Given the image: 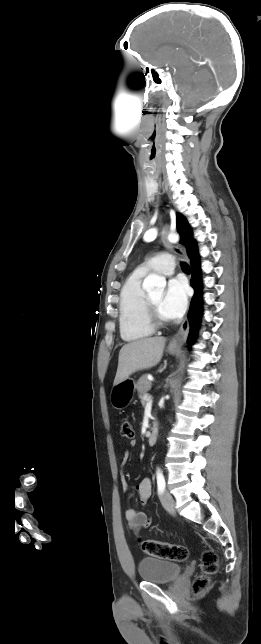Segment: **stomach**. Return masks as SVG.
<instances>
[{"label": "stomach", "instance_id": "1", "mask_svg": "<svg viewBox=\"0 0 261 644\" xmlns=\"http://www.w3.org/2000/svg\"><path fill=\"white\" fill-rule=\"evenodd\" d=\"M170 354H177L181 351L180 346H168ZM136 389V383L132 378H127L124 381L114 385L110 393V401L112 406L117 410L126 408L133 400Z\"/></svg>", "mask_w": 261, "mask_h": 644}]
</instances>
